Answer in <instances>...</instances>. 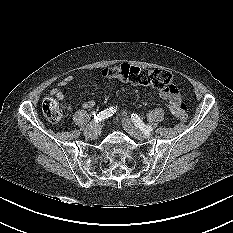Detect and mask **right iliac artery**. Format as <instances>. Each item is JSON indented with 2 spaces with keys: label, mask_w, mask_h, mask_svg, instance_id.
<instances>
[{
  "label": "right iliac artery",
  "mask_w": 233,
  "mask_h": 233,
  "mask_svg": "<svg viewBox=\"0 0 233 233\" xmlns=\"http://www.w3.org/2000/svg\"><path fill=\"white\" fill-rule=\"evenodd\" d=\"M116 109L117 107H110V108H107L99 113H97L96 115H94V120H93V123L95 122H98V121H102L104 119H107L109 117H111L115 112H116ZM92 126V125H90Z\"/></svg>",
  "instance_id": "obj_1"
}]
</instances>
